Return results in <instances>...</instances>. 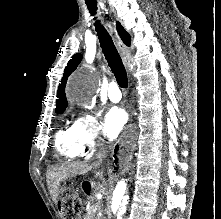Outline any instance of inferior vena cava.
Returning <instances> with one entry per match:
<instances>
[{"label":"inferior vena cava","instance_id":"602c4592","mask_svg":"<svg viewBox=\"0 0 221 219\" xmlns=\"http://www.w3.org/2000/svg\"><path fill=\"white\" fill-rule=\"evenodd\" d=\"M108 151H109V146H107L106 144H103L100 147V150H99V152L97 154V161L95 162L96 166H100L101 165L102 160H103V158L106 157Z\"/></svg>","mask_w":221,"mask_h":219}]
</instances>
